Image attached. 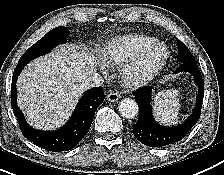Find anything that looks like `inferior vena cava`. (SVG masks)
Returning a JSON list of instances; mask_svg holds the SVG:
<instances>
[{
    "label": "inferior vena cava",
    "instance_id": "inferior-vena-cava-1",
    "mask_svg": "<svg viewBox=\"0 0 224 175\" xmlns=\"http://www.w3.org/2000/svg\"><path fill=\"white\" fill-rule=\"evenodd\" d=\"M104 79L103 77L94 72L91 73L82 83H81V88L83 89H88L92 87H98L103 85Z\"/></svg>",
    "mask_w": 224,
    "mask_h": 175
}]
</instances>
